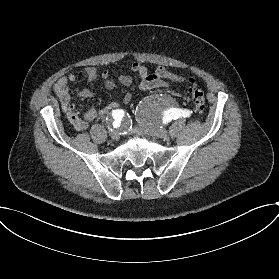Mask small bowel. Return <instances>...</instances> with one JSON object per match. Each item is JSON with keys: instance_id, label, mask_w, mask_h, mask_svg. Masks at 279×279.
I'll use <instances>...</instances> for the list:
<instances>
[{"instance_id": "small-bowel-1", "label": "small bowel", "mask_w": 279, "mask_h": 279, "mask_svg": "<svg viewBox=\"0 0 279 279\" xmlns=\"http://www.w3.org/2000/svg\"><path fill=\"white\" fill-rule=\"evenodd\" d=\"M129 69L132 73H135L140 78L139 86L142 90H150L153 88L165 87V80L172 82H183L185 78L181 75L170 72L169 70L159 67L153 72H150L148 68L139 62H131ZM85 75L88 81H94L98 77L104 80V86L108 90H112L115 87V81L110 77L108 70H98L94 67L85 68ZM77 81V75L75 73H69L66 76L61 77L54 85V92L60 101L62 110L70 122V124L77 131H84L88 128L89 123L97 117L106 114L112 109L120 107V104L113 102L105 107L89 108L82 116L77 111L75 104L70 97L69 84ZM118 81L124 86H130L133 82L131 75L120 74ZM76 95L80 98H91L94 96L93 92L86 88L76 89ZM132 101V94L126 92L123 95L122 103L124 105L130 104Z\"/></svg>"}]
</instances>
